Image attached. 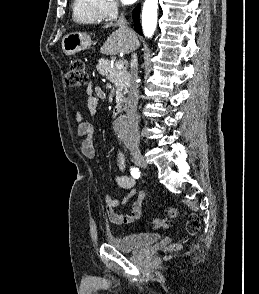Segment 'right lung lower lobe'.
<instances>
[{
  "mask_svg": "<svg viewBox=\"0 0 259 294\" xmlns=\"http://www.w3.org/2000/svg\"><path fill=\"white\" fill-rule=\"evenodd\" d=\"M139 11H140V6L138 5L134 10H133V19L134 21H136L137 23H139ZM135 30L137 33H139L140 35H142V30H141V26L139 24H137L135 26Z\"/></svg>",
  "mask_w": 259,
  "mask_h": 294,
  "instance_id": "1",
  "label": "right lung lower lobe"
}]
</instances>
